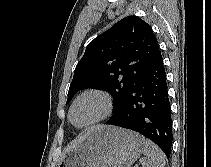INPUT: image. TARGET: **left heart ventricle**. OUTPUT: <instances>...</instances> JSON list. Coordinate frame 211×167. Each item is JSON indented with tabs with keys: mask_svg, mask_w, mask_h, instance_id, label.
Returning a JSON list of instances; mask_svg holds the SVG:
<instances>
[{
	"mask_svg": "<svg viewBox=\"0 0 211 167\" xmlns=\"http://www.w3.org/2000/svg\"><path fill=\"white\" fill-rule=\"evenodd\" d=\"M103 102L97 96H88L80 100L73 109L72 120L77 125H84L103 112Z\"/></svg>",
	"mask_w": 211,
	"mask_h": 167,
	"instance_id": "b2bd125f",
	"label": "left heart ventricle"
}]
</instances>
